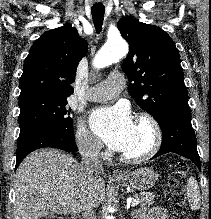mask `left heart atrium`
Instances as JSON below:
<instances>
[{
	"label": "left heart atrium",
	"instance_id": "1",
	"mask_svg": "<svg viewBox=\"0 0 211 219\" xmlns=\"http://www.w3.org/2000/svg\"><path fill=\"white\" fill-rule=\"evenodd\" d=\"M90 126L111 149L123 152L130 145L135 123L124 106L101 108L90 116Z\"/></svg>",
	"mask_w": 211,
	"mask_h": 219
}]
</instances>
